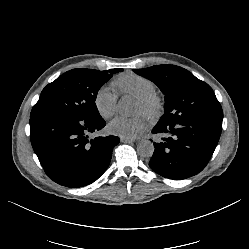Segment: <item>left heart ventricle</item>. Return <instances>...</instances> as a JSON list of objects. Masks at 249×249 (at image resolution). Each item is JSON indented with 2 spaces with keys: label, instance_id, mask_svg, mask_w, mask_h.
<instances>
[{
  "label": "left heart ventricle",
  "instance_id": "obj_1",
  "mask_svg": "<svg viewBox=\"0 0 249 249\" xmlns=\"http://www.w3.org/2000/svg\"><path fill=\"white\" fill-rule=\"evenodd\" d=\"M136 113H142L143 114L142 105L138 101H137V104H136Z\"/></svg>",
  "mask_w": 249,
  "mask_h": 249
}]
</instances>
